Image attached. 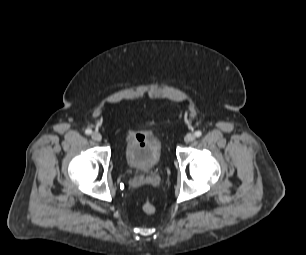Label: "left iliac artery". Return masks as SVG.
<instances>
[{
	"label": "left iliac artery",
	"mask_w": 306,
	"mask_h": 255,
	"mask_svg": "<svg viewBox=\"0 0 306 255\" xmlns=\"http://www.w3.org/2000/svg\"><path fill=\"white\" fill-rule=\"evenodd\" d=\"M202 135V132L200 130L196 131L195 132V136L196 137H200Z\"/></svg>",
	"instance_id": "obj_1"
}]
</instances>
